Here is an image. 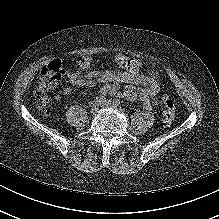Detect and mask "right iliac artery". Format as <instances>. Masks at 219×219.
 Segmentation results:
<instances>
[{"label":"right iliac artery","instance_id":"obj_1","mask_svg":"<svg viewBox=\"0 0 219 219\" xmlns=\"http://www.w3.org/2000/svg\"><path fill=\"white\" fill-rule=\"evenodd\" d=\"M105 100H106L105 97H103V96H98V97H96V98L90 103V105H91V106H98V105H100L101 103H103Z\"/></svg>","mask_w":219,"mask_h":219}]
</instances>
